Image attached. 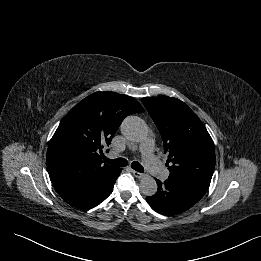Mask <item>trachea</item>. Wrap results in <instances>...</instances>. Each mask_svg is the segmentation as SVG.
<instances>
[{"label":"trachea","mask_w":261,"mask_h":261,"mask_svg":"<svg viewBox=\"0 0 261 261\" xmlns=\"http://www.w3.org/2000/svg\"><path fill=\"white\" fill-rule=\"evenodd\" d=\"M104 161L113 166H118V167H124V166H127V164H128V161L124 158H117V159L111 160V159H108L107 157H104ZM131 167L135 171H138L140 173L144 172V168L139 162H136V161L132 162Z\"/></svg>","instance_id":"trachea-1"}]
</instances>
